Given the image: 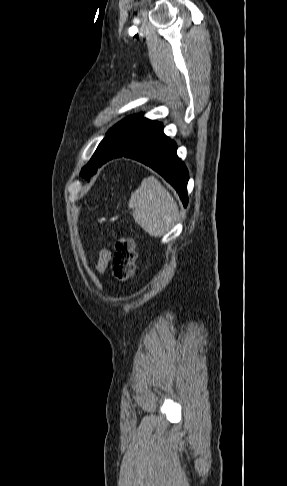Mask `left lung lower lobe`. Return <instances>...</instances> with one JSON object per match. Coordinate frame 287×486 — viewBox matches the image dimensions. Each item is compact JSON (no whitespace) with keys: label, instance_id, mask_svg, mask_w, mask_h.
<instances>
[{"label":"left lung lower lobe","instance_id":"0a47b994","mask_svg":"<svg viewBox=\"0 0 287 486\" xmlns=\"http://www.w3.org/2000/svg\"><path fill=\"white\" fill-rule=\"evenodd\" d=\"M176 150V143L163 133L161 126L140 148L122 156L142 162L157 171L176 189L186 207L189 176L187 168L178 158ZM117 157L121 156L114 158Z\"/></svg>","mask_w":287,"mask_h":486}]
</instances>
